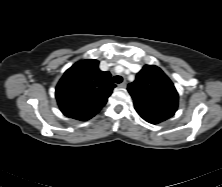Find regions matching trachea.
I'll list each match as a JSON object with an SVG mask.
<instances>
[{"instance_id": "trachea-1", "label": "trachea", "mask_w": 222, "mask_h": 187, "mask_svg": "<svg viewBox=\"0 0 222 187\" xmlns=\"http://www.w3.org/2000/svg\"><path fill=\"white\" fill-rule=\"evenodd\" d=\"M113 81L117 84L121 83L123 81V78L119 75L114 76Z\"/></svg>"}]
</instances>
